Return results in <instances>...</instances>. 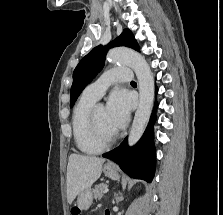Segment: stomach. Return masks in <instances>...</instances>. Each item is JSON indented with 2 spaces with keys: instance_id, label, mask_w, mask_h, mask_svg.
Returning a JSON list of instances; mask_svg holds the SVG:
<instances>
[{
  "instance_id": "0dacf381",
  "label": "stomach",
  "mask_w": 223,
  "mask_h": 215,
  "mask_svg": "<svg viewBox=\"0 0 223 215\" xmlns=\"http://www.w3.org/2000/svg\"><path fill=\"white\" fill-rule=\"evenodd\" d=\"M103 171L107 177H111V179H119L120 175L117 171V167L115 163H112V161H108V163H105L103 167ZM89 189H84V191H81L78 195L77 199V209H88L90 203H92L91 195L87 192Z\"/></svg>"
}]
</instances>
